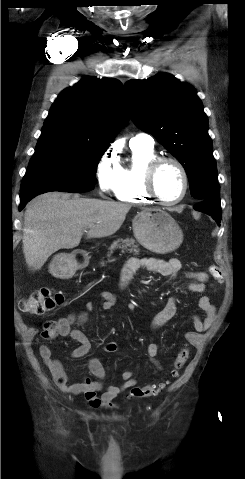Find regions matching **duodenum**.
<instances>
[{"instance_id":"1","label":"duodenum","mask_w":245,"mask_h":479,"mask_svg":"<svg viewBox=\"0 0 245 479\" xmlns=\"http://www.w3.org/2000/svg\"><path fill=\"white\" fill-rule=\"evenodd\" d=\"M74 258L79 268H82L87 260L86 254H81L80 256H75Z\"/></svg>"}]
</instances>
